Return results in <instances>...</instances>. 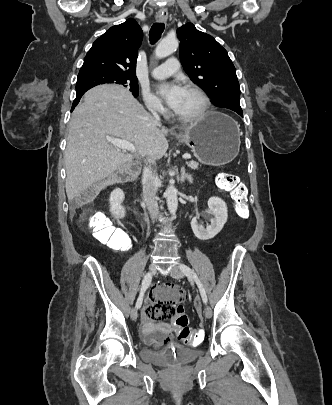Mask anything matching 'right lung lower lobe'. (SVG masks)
<instances>
[{"label":"right lung lower lobe","mask_w":332,"mask_h":405,"mask_svg":"<svg viewBox=\"0 0 332 405\" xmlns=\"http://www.w3.org/2000/svg\"><path fill=\"white\" fill-rule=\"evenodd\" d=\"M85 92H86V91L79 92V93L76 94V98H75V100H74V102H73V104H72V109H71V111H73V109L75 108V106L79 103L80 98L82 97V95H83Z\"/></svg>","instance_id":"1"}]
</instances>
